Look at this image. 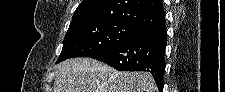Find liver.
<instances>
[{"label":"liver","mask_w":225,"mask_h":92,"mask_svg":"<svg viewBox=\"0 0 225 92\" xmlns=\"http://www.w3.org/2000/svg\"><path fill=\"white\" fill-rule=\"evenodd\" d=\"M54 92H157L149 72H119L92 58H73L56 66Z\"/></svg>","instance_id":"1"}]
</instances>
